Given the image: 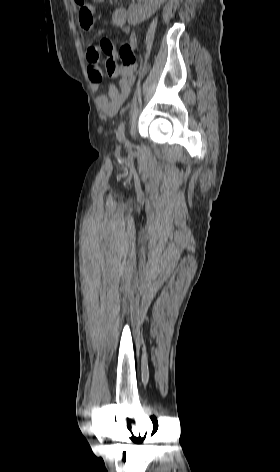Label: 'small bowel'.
I'll use <instances>...</instances> for the list:
<instances>
[{
	"label": "small bowel",
	"instance_id": "1",
	"mask_svg": "<svg viewBox=\"0 0 280 472\" xmlns=\"http://www.w3.org/2000/svg\"><path fill=\"white\" fill-rule=\"evenodd\" d=\"M78 8L80 26L84 30H91L94 24V8L87 0H74ZM95 3H101L104 0H92ZM112 22L119 27L124 33L129 34L128 41L136 46L137 37L132 32L131 27L127 23V10L124 7H118L113 11ZM104 55L105 60H113L116 62L118 53L113 42L107 38L100 41L98 45H91L87 49L86 57L89 63L88 76L91 87L94 91L99 89L103 78V70L100 64V56ZM136 64L131 66L118 65V85L109 84L108 94L99 95L96 99L100 109L109 116L115 115L120 107L127 99L134 75L136 72Z\"/></svg>",
	"mask_w": 280,
	"mask_h": 472
}]
</instances>
